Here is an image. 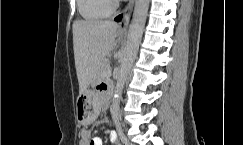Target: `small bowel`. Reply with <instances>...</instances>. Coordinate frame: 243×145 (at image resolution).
<instances>
[{
    "label": "small bowel",
    "instance_id": "1",
    "mask_svg": "<svg viewBox=\"0 0 243 145\" xmlns=\"http://www.w3.org/2000/svg\"><path fill=\"white\" fill-rule=\"evenodd\" d=\"M107 88H102V91H106ZM109 139L111 143L117 144L118 142V136L116 132L112 131L110 132ZM79 145H103V141L100 137L92 136V133L90 130L85 129L81 132L80 142Z\"/></svg>",
    "mask_w": 243,
    "mask_h": 145
}]
</instances>
